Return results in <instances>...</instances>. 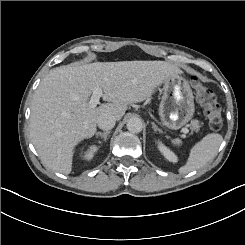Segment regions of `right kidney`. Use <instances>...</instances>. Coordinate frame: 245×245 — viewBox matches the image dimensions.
<instances>
[{
    "label": "right kidney",
    "mask_w": 245,
    "mask_h": 245,
    "mask_svg": "<svg viewBox=\"0 0 245 245\" xmlns=\"http://www.w3.org/2000/svg\"><path fill=\"white\" fill-rule=\"evenodd\" d=\"M98 150L99 146L96 143H90L83 152H80V159L84 161H91Z\"/></svg>",
    "instance_id": "1"
}]
</instances>
